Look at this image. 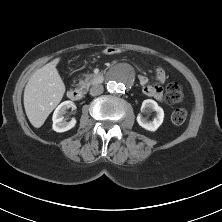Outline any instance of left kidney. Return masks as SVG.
<instances>
[{"mask_svg": "<svg viewBox=\"0 0 222 222\" xmlns=\"http://www.w3.org/2000/svg\"><path fill=\"white\" fill-rule=\"evenodd\" d=\"M150 111L156 112V117L153 119V121H148L145 118H142V116L139 114L137 116V122L142 128L146 130L156 131L163 122L164 111L157 104L156 101L152 99L144 100L141 106V112H150Z\"/></svg>", "mask_w": 222, "mask_h": 222, "instance_id": "5707ae66", "label": "left kidney"}]
</instances>
